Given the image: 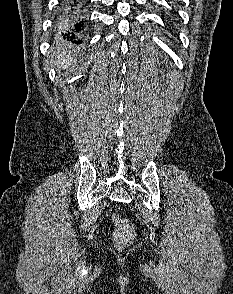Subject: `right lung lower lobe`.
<instances>
[{
  "label": "right lung lower lobe",
  "mask_w": 233,
  "mask_h": 294,
  "mask_svg": "<svg viewBox=\"0 0 233 294\" xmlns=\"http://www.w3.org/2000/svg\"><path fill=\"white\" fill-rule=\"evenodd\" d=\"M83 27L81 0H63L57 21V31L63 38L81 44L79 39Z\"/></svg>",
  "instance_id": "1"
}]
</instances>
